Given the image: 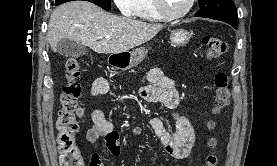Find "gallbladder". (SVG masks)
<instances>
[{
  "mask_svg": "<svg viewBox=\"0 0 277 166\" xmlns=\"http://www.w3.org/2000/svg\"><path fill=\"white\" fill-rule=\"evenodd\" d=\"M57 52L66 57H80L87 53V48L70 39H62L58 42Z\"/></svg>",
  "mask_w": 277,
  "mask_h": 166,
  "instance_id": "obj_1",
  "label": "gallbladder"
}]
</instances>
